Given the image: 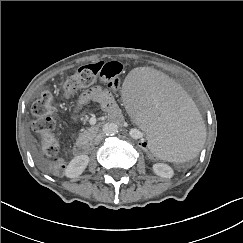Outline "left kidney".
<instances>
[{
  "label": "left kidney",
  "mask_w": 243,
  "mask_h": 243,
  "mask_svg": "<svg viewBox=\"0 0 243 243\" xmlns=\"http://www.w3.org/2000/svg\"><path fill=\"white\" fill-rule=\"evenodd\" d=\"M152 168L154 173L162 178H172L174 175V171L170 166L154 164Z\"/></svg>",
  "instance_id": "5707ae66"
}]
</instances>
